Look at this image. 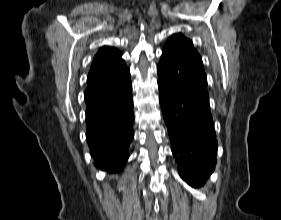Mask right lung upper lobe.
Masks as SVG:
<instances>
[{
  "label": "right lung upper lobe",
  "mask_w": 281,
  "mask_h": 220,
  "mask_svg": "<svg viewBox=\"0 0 281 220\" xmlns=\"http://www.w3.org/2000/svg\"><path fill=\"white\" fill-rule=\"evenodd\" d=\"M121 52L112 47H103L95 55L87 78L86 92L112 89L129 79L130 72Z\"/></svg>",
  "instance_id": "cb5924a9"
}]
</instances>
